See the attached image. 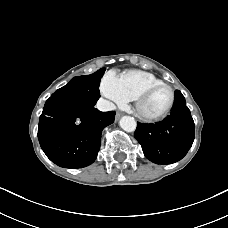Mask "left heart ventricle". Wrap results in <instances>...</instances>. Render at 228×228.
<instances>
[{"mask_svg": "<svg viewBox=\"0 0 228 228\" xmlns=\"http://www.w3.org/2000/svg\"><path fill=\"white\" fill-rule=\"evenodd\" d=\"M171 99V93L166 87L153 90L141 103V111L147 115H157L163 112Z\"/></svg>", "mask_w": 228, "mask_h": 228, "instance_id": "1", "label": "left heart ventricle"}]
</instances>
